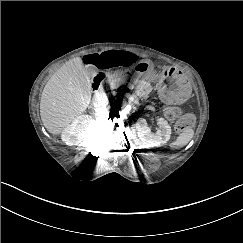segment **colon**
Returning <instances> with one entry per match:
<instances>
[{
    "label": "colon",
    "mask_w": 243,
    "mask_h": 243,
    "mask_svg": "<svg viewBox=\"0 0 243 243\" xmlns=\"http://www.w3.org/2000/svg\"><path fill=\"white\" fill-rule=\"evenodd\" d=\"M164 114L169 120H177L175 128L179 133L189 129L194 123V117L189 114L182 116L181 110L177 106H167Z\"/></svg>",
    "instance_id": "1"
}]
</instances>
